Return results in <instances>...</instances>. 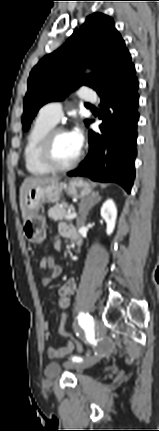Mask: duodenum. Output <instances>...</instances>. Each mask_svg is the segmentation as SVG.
I'll use <instances>...</instances> for the list:
<instances>
[{
	"label": "duodenum",
	"mask_w": 159,
	"mask_h": 431,
	"mask_svg": "<svg viewBox=\"0 0 159 431\" xmlns=\"http://www.w3.org/2000/svg\"><path fill=\"white\" fill-rule=\"evenodd\" d=\"M73 239H75L76 240V236H75V234L74 233H72V236H71Z\"/></svg>",
	"instance_id": "duodenum-1"
}]
</instances>
